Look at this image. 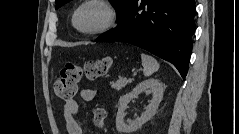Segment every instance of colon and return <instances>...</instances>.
<instances>
[{
    "mask_svg": "<svg viewBox=\"0 0 239 134\" xmlns=\"http://www.w3.org/2000/svg\"><path fill=\"white\" fill-rule=\"evenodd\" d=\"M111 58L104 57L98 61L87 62L84 65L67 63L59 73L54 84L56 95L63 100L72 99L78 90L79 83L83 76L89 80H96L104 77L110 66ZM106 118V111L98 108L94 113V122L96 126L103 127Z\"/></svg>",
    "mask_w": 239,
    "mask_h": 134,
    "instance_id": "colon-1",
    "label": "colon"
}]
</instances>
